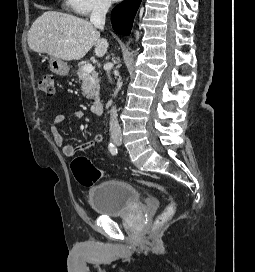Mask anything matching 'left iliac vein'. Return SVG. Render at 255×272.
Listing matches in <instances>:
<instances>
[{
  "mask_svg": "<svg viewBox=\"0 0 255 272\" xmlns=\"http://www.w3.org/2000/svg\"><path fill=\"white\" fill-rule=\"evenodd\" d=\"M117 137H118V139L115 141V143L117 145H121V143H122V137L121 136H117Z\"/></svg>",
  "mask_w": 255,
  "mask_h": 272,
  "instance_id": "obj_1",
  "label": "left iliac vein"
}]
</instances>
